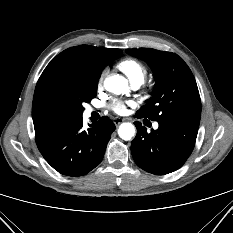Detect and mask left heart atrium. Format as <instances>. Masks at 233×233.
<instances>
[{
	"mask_svg": "<svg viewBox=\"0 0 233 233\" xmlns=\"http://www.w3.org/2000/svg\"><path fill=\"white\" fill-rule=\"evenodd\" d=\"M130 106H133V103L131 101H122L115 99L110 104V109L119 115H124L127 113V109Z\"/></svg>",
	"mask_w": 233,
	"mask_h": 233,
	"instance_id": "obj_1",
	"label": "left heart atrium"
}]
</instances>
